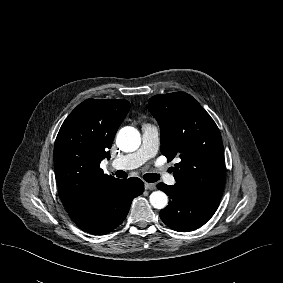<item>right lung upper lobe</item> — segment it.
I'll return each mask as SVG.
<instances>
[{
    "label": "right lung upper lobe",
    "mask_w": 283,
    "mask_h": 283,
    "mask_svg": "<svg viewBox=\"0 0 283 283\" xmlns=\"http://www.w3.org/2000/svg\"><path fill=\"white\" fill-rule=\"evenodd\" d=\"M130 103L121 99H87L66 118L54 146V166L63 204L72 220L91 208L120 179L104 174L101 160Z\"/></svg>",
    "instance_id": "1"
}]
</instances>
